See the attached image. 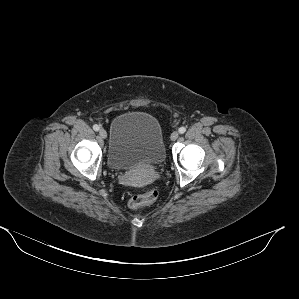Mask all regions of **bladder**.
Wrapping results in <instances>:
<instances>
[{
  "instance_id": "obj_1",
  "label": "bladder",
  "mask_w": 299,
  "mask_h": 299,
  "mask_svg": "<svg viewBox=\"0 0 299 299\" xmlns=\"http://www.w3.org/2000/svg\"><path fill=\"white\" fill-rule=\"evenodd\" d=\"M166 150L158 120L145 112L119 115L111 125L108 163L113 170H129L140 165L159 166Z\"/></svg>"
}]
</instances>
